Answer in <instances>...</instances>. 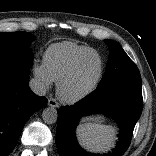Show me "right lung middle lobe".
<instances>
[{
    "label": "right lung middle lobe",
    "mask_w": 156,
    "mask_h": 156,
    "mask_svg": "<svg viewBox=\"0 0 156 156\" xmlns=\"http://www.w3.org/2000/svg\"><path fill=\"white\" fill-rule=\"evenodd\" d=\"M34 39L27 32L0 33V62L31 68L33 54L29 45Z\"/></svg>",
    "instance_id": "dd1d6c3e"
}]
</instances>
